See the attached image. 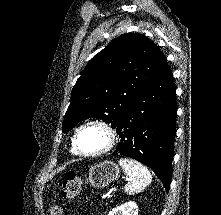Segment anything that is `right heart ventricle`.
I'll return each mask as SVG.
<instances>
[{"label": "right heart ventricle", "mask_w": 221, "mask_h": 215, "mask_svg": "<svg viewBox=\"0 0 221 215\" xmlns=\"http://www.w3.org/2000/svg\"><path fill=\"white\" fill-rule=\"evenodd\" d=\"M71 152L74 153V154H76L75 151H74V149H73V147L71 148Z\"/></svg>", "instance_id": "obj_1"}]
</instances>
